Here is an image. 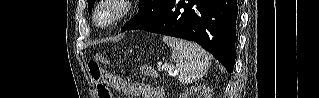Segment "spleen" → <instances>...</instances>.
<instances>
[{"mask_svg": "<svg viewBox=\"0 0 319 98\" xmlns=\"http://www.w3.org/2000/svg\"><path fill=\"white\" fill-rule=\"evenodd\" d=\"M163 41L172 50V60L176 63L175 70L179 82H195L207 72L211 56L201 46L168 36H164Z\"/></svg>", "mask_w": 319, "mask_h": 98, "instance_id": "1", "label": "spleen"}]
</instances>
